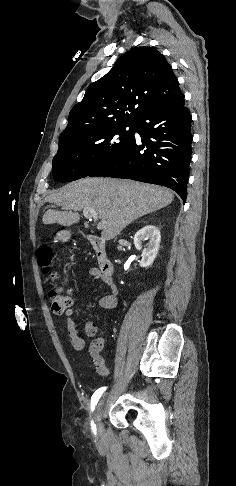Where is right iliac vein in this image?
Returning a JSON list of instances; mask_svg holds the SVG:
<instances>
[{"mask_svg": "<svg viewBox=\"0 0 236 486\" xmlns=\"http://www.w3.org/2000/svg\"><path fill=\"white\" fill-rule=\"evenodd\" d=\"M103 404H104V397L98 403L96 410H95V414H94V419H95L99 434H101V431H102L101 419H102V412H103Z\"/></svg>", "mask_w": 236, "mask_h": 486, "instance_id": "obj_1", "label": "right iliac vein"}]
</instances>
